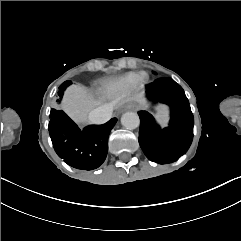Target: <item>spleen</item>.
I'll use <instances>...</instances> for the list:
<instances>
[{
	"instance_id": "1",
	"label": "spleen",
	"mask_w": 241,
	"mask_h": 241,
	"mask_svg": "<svg viewBox=\"0 0 241 241\" xmlns=\"http://www.w3.org/2000/svg\"><path fill=\"white\" fill-rule=\"evenodd\" d=\"M158 119L162 122V123H165V119H164V116H163V113L160 112L159 116H158Z\"/></svg>"
}]
</instances>
